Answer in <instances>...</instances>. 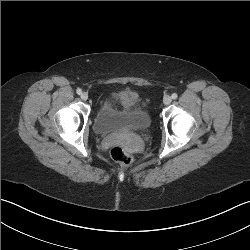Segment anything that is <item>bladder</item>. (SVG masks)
I'll return each instance as SVG.
<instances>
[{
  "instance_id": "1",
  "label": "bladder",
  "mask_w": 250,
  "mask_h": 250,
  "mask_svg": "<svg viewBox=\"0 0 250 250\" xmlns=\"http://www.w3.org/2000/svg\"><path fill=\"white\" fill-rule=\"evenodd\" d=\"M152 125L150 112L139 107L132 97H124L119 107L104 103L97 110L93 128L101 136L124 133L143 132Z\"/></svg>"
}]
</instances>
